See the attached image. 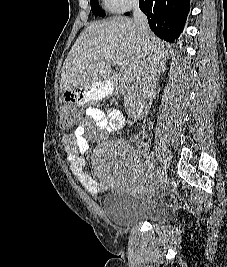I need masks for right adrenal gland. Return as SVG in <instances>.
<instances>
[{
	"label": "right adrenal gland",
	"mask_w": 227,
	"mask_h": 267,
	"mask_svg": "<svg viewBox=\"0 0 227 267\" xmlns=\"http://www.w3.org/2000/svg\"><path fill=\"white\" fill-rule=\"evenodd\" d=\"M168 68L166 67V65L164 63H161L159 66H158V70H157V81L159 80L160 76H161V73L162 72H165Z\"/></svg>",
	"instance_id": "obj_1"
}]
</instances>
